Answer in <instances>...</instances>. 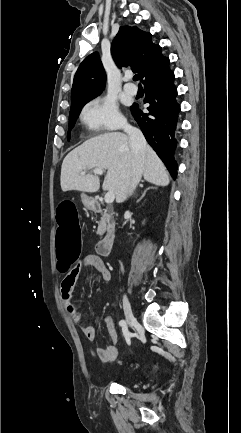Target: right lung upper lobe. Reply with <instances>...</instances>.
I'll list each match as a JSON object with an SVG mask.
<instances>
[{
  "instance_id": "right-lung-upper-lobe-1",
  "label": "right lung upper lobe",
  "mask_w": 241,
  "mask_h": 433,
  "mask_svg": "<svg viewBox=\"0 0 241 433\" xmlns=\"http://www.w3.org/2000/svg\"><path fill=\"white\" fill-rule=\"evenodd\" d=\"M111 54L116 64L133 66L144 82L160 72L169 58L161 54V47L151 41V34L136 27L123 26L111 45ZM106 73L97 53L90 54L80 64L73 81L71 107L77 102L93 99L104 89Z\"/></svg>"
}]
</instances>
